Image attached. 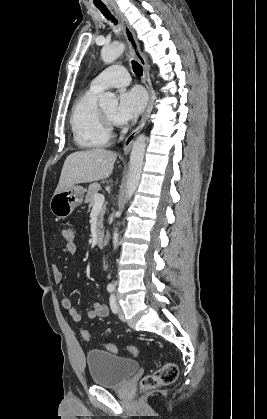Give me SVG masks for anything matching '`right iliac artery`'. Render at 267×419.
Wrapping results in <instances>:
<instances>
[{
    "mask_svg": "<svg viewBox=\"0 0 267 419\" xmlns=\"http://www.w3.org/2000/svg\"><path fill=\"white\" fill-rule=\"evenodd\" d=\"M107 290H108L109 292H113V291H114V287H113V286H108Z\"/></svg>",
    "mask_w": 267,
    "mask_h": 419,
    "instance_id": "1",
    "label": "right iliac artery"
}]
</instances>
